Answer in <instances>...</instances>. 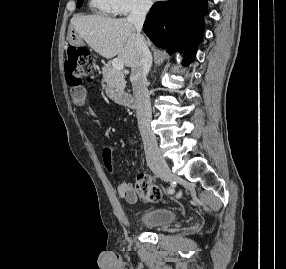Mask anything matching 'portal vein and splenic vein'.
<instances>
[{"mask_svg": "<svg viewBox=\"0 0 286 269\" xmlns=\"http://www.w3.org/2000/svg\"><path fill=\"white\" fill-rule=\"evenodd\" d=\"M112 66L114 69L119 70V71L124 69V63L120 59H114L112 61Z\"/></svg>", "mask_w": 286, "mask_h": 269, "instance_id": "18ae733b", "label": "portal vein and splenic vein"}]
</instances>
